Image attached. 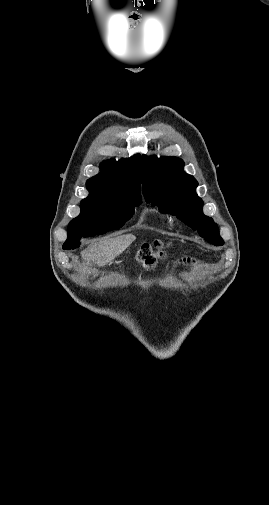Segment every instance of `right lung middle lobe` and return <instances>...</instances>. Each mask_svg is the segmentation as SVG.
Wrapping results in <instances>:
<instances>
[{
	"mask_svg": "<svg viewBox=\"0 0 269 505\" xmlns=\"http://www.w3.org/2000/svg\"><path fill=\"white\" fill-rule=\"evenodd\" d=\"M142 203L140 199L85 198L81 201V213L68 226V237L64 250L75 249L81 237L105 234L121 228L131 218L134 207Z\"/></svg>",
	"mask_w": 269,
	"mask_h": 505,
	"instance_id": "right-lung-middle-lobe-1",
	"label": "right lung middle lobe"
}]
</instances>
